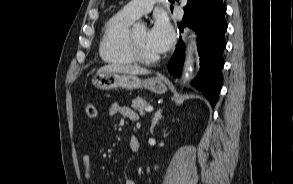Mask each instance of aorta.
I'll use <instances>...</instances> for the list:
<instances>
[{
  "label": "aorta",
  "instance_id": "aorta-1",
  "mask_svg": "<svg viewBox=\"0 0 293 184\" xmlns=\"http://www.w3.org/2000/svg\"><path fill=\"white\" fill-rule=\"evenodd\" d=\"M194 50H195V34L192 33L190 36L188 45H187V49H186V58H185V62H184L183 75H182L183 82L189 81V79L192 77L193 69H194V67H193Z\"/></svg>",
  "mask_w": 293,
  "mask_h": 184
}]
</instances>
